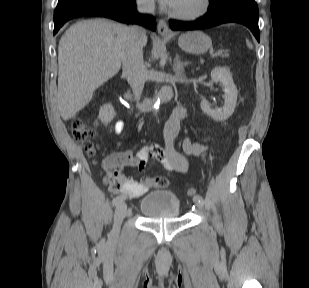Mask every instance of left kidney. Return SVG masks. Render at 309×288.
<instances>
[{
    "label": "left kidney",
    "instance_id": "left-kidney-1",
    "mask_svg": "<svg viewBox=\"0 0 309 288\" xmlns=\"http://www.w3.org/2000/svg\"><path fill=\"white\" fill-rule=\"evenodd\" d=\"M211 79L215 82H220L224 87V106L220 109H213L206 100H202L200 106L202 111L213 119L225 121L234 112L238 91L234 84L232 74L225 67H215L211 71Z\"/></svg>",
    "mask_w": 309,
    "mask_h": 288
}]
</instances>
